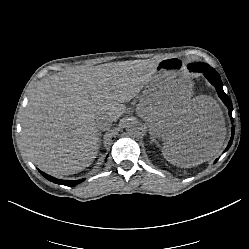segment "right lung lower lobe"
I'll return each mask as SVG.
<instances>
[{
    "label": "right lung lower lobe",
    "instance_id": "98d812e1",
    "mask_svg": "<svg viewBox=\"0 0 249 249\" xmlns=\"http://www.w3.org/2000/svg\"><path fill=\"white\" fill-rule=\"evenodd\" d=\"M40 173L44 177H46L48 180L53 182V183L63 184V185L70 186V187L75 186L76 184H78V183H80V182H82L84 180V179H82V180H71V181L70 180H61V179H56V178H54V177H52V176H50V175H48V174H46L44 172L40 171Z\"/></svg>",
    "mask_w": 249,
    "mask_h": 249
}]
</instances>
